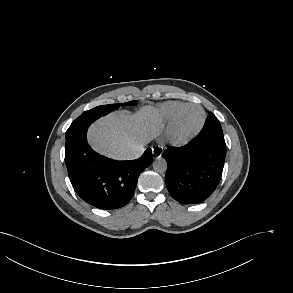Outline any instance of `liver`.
Here are the masks:
<instances>
[{"mask_svg":"<svg viewBox=\"0 0 293 293\" xmlns=\"http://www.w3.org/2000/svg\"><path fill=\"white\" fill-rule=\"evenodd\" d=\"M157 109L145 106L134 115L124 111L112 113L96 121L88 131V141L97 152L117 160H125L128 150L145 146L162 129Z\"/></svg>","mask_w":293,"mask_h":293,"instance_id":"liver-1","label":"liver"}]
</instances>
